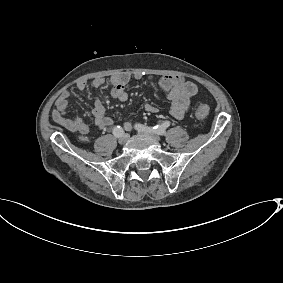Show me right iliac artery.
I'll return each instance as SVG.
<instances>
[{"label":"right iliac artery","instance_id":"right-iliac-artery-1","mask_svg":"<svg viewBox=\"0 0 283 283\" xmlns=\"http://www.w3.org/2000/svg\"><path fill=\"white\" fill-rule=\"evenodd\" d=\"M113 134L116 137H120L124 134V130H123L122 127L116 126V127L113 128Z\"/></svg>","mask_w":283,"mask_h":283}]
</instances>
